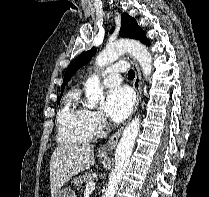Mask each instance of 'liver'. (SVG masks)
<instances>
[{"label":"liver","mask_w":209,"mask_h":197,"mask_svg":"<svg viewBox=\"0 0 209 197\" xmlns=\"http://www.w3.org/2000/svg\"><path fill=\"white\" fill-rule=\"evenodd\" d=\"M94 163V146L91 144H62L58 146L50 160L51 196L54 197L73 176L89 169Z\"/></svg>","instance_id":"1"}]
</instances>
